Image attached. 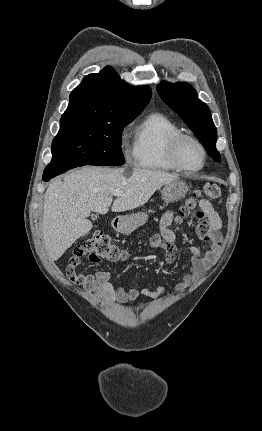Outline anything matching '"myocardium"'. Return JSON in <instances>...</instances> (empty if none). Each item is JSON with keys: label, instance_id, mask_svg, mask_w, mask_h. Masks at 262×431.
<instances>
[{"label": "myocardium", "instance_id": "1", "mask_svg": "<svg viewBox=\"0 0 262 431\" xmlns=\"http://www.w3.org/2000/svg\"><path fill=\"white\" fill-rule=\"evenodd\" d=\"M186 142L193 143L200 150V152L202 154V163L199 167H197L195 169H189V168L185 167L180 160V149L183 146V144ZM168 156H169V159L172 162V164L179 171H181L187 175H194L204 168L205 163H206V159H207V152H206V149L203 146V144L198 139H196L195 137L186 135V134H182V135L174 137L171 140V142L169 144Z\"/></svg>", "mask_w": 262, "mask_h": 431}]
</instances>
